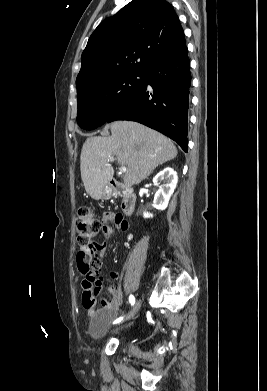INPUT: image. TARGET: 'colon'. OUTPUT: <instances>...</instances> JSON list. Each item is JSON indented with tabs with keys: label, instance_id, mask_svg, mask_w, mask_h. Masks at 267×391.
I'll return each instance as SVG.
<instances>
[{
	"label": "colon",
	"instance_id": "obj_1",
	"mask_svg": "<svg viewBox=\"0 0 267 391\" xmlns=\"http://www.w3.org/2000/svg\"><path fill=\"white\" fill-rule=\"evenodd\" d=\"M102 229V222L97 214L88 206L78 209L76 215L77 242L80 252L98 253L105 245L98 235Z\"/></svg>",
	"mask_w": 267,
	"mask_h": 391
}]
</instances>
